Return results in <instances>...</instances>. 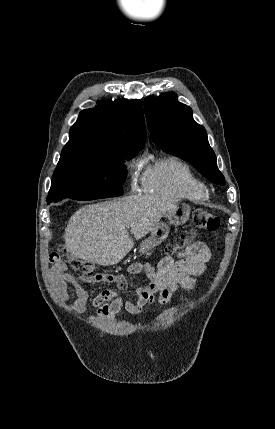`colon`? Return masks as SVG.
<instances>
[{"label":"colon","instance_id":"obj_1","mask_svg":"<svg viewBox=\"0 0 275 429\" xmlns=\"http://www.w3.org/2000/svg\"><path fill=\"white\" fill-rule=\"evenodd\" d=\"M192 220L194 229L183 232L173 243L169 244L166 249L168 253L172 254L192 246L195 241L196 230L213 232L216 231L220 225L218 217L213 212L204 208L194 209ZM61 251L75 271L88 278L98 276L94 274L95 266L92 262L70 256L65 248ZM52 259L57 261L59 256L55 254L52 256Z\"/></svg>","mask_w":275,"mask_h":429}]
</instances>
